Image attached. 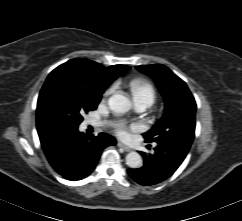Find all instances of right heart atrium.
<instances>
[{
	"instance_id": "1",
	"label": "right heart atrium",
	"mask_w": 242,
	"mask_h": 221,
	"mask_svg": "<svg viewBox=\"0 0 242 221\" xmlns=\"http://www.w3.org/2000/svg\"><path fill=\"white\" fill-rule=\"evenodd\" d=\"M113 91H114V87H110L107 89L105 94L108 95V94L112 93Z\"/></svg>"
}]
</instances>
